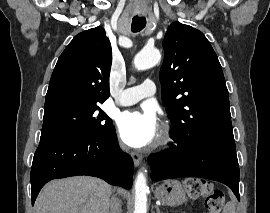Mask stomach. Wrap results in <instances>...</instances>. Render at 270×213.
I'll return each instance as SVG.
<instances>
[{"label": "stomach", "instance_id": "stomach-1", "mask_svg": "<svg viewBox=\"0 0 270 213\" xmlns=\"http://www.w3.org/2000/svg\"><path fill=\"white\" fill-rule=\"evenodd\" d=\"M155 196L163 204L172 207L182 204L186 199L184 189L177 180H166L158 185Z\"/></svg>", "mask_w": 270, "mask_h": 213}]
</instances>
